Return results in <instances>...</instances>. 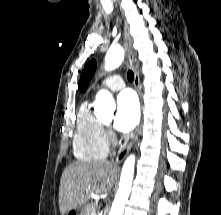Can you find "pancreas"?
Returning <instances> with one entry per match:
<instances>
[{
  "label": "pancreas",
  "instance_id": "cf45deb5",
  "mask_svg": "<svg viewBox=\"0 0 221 215\" xmlns=\"http://www.w3.org/2000/svg\"><path fill=\"white\" fill-rule=\"evenodd\" d=\"M97 208L98 207L96 204L91 203V204L84 207L83 215H97L96 214Z\"/></svg>",
  "mask_w": 221,
  "mask_h": 215
}]
</instances>
